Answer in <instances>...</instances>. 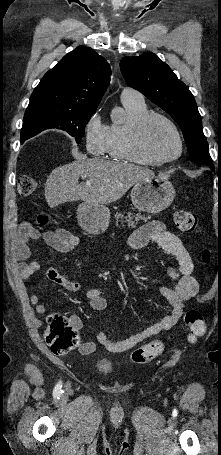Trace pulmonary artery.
I'll list each match as a JSON object with an SVG mask.
<instances>
[{
  "mask_svg": "<svg viewBox=\"0 0 221 455\" xmlns=\"http://www.w3.org/2000/svg\"><path fill=\"white\" fill-rule=\"evenodd\" d=\"M120 98L122 102H130L135 104L144 103L143 95L134 88L125 87L122 89Z\"/></svg>",
  "mask_w": 221,
  "mask_h": 455,
  "instance_id": "e3ab8cb5",
  "label": "pulmonary artery"
}]
</instances>
